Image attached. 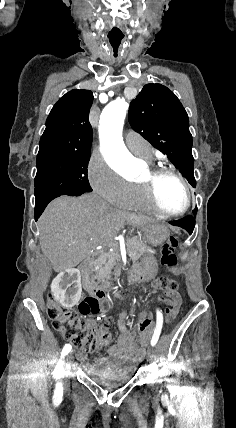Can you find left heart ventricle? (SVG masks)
Masks as SVG:
<instances>
[{
	"instance_id": "1",
	"label": "left heart ventricle",
	"mask_w": 236,
	"mask_h": 428,
	"mask_svg": "<svg viewBox=\"0 0 236 428\" xmlns=\"http://www.w3.org/2000/svg\"><path fill=\"white\" fill-rule=\"evenodd\" d=\"M146 176L147 173L139 180H143ZM157 194L161 204L170 211L180 210L186 203L184 186L178 179L172 176H165L158 182Z\"/></svg>"
}]
</instances>
